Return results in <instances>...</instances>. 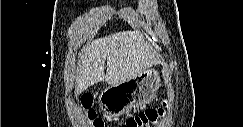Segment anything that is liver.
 I'll return each instance as SVG.
<instances>
[{
    "label": "liver",
    "mask_w": 243,
    "mask_h": 127,
    "mask_svg": "<svg viewBox=\"0 0 243 127\" xmlns=\"http://www.w3.org/2000/svg\"><path fill=\"white\" fill-rule=\"evenodd\" d=\"M158 62L152 47L137 31H122L95 39L82 51L76 93L102 81L109 85L125 82Z\"/></svg>",
    "instance_id": "6515ba94"
}]
</instances>
